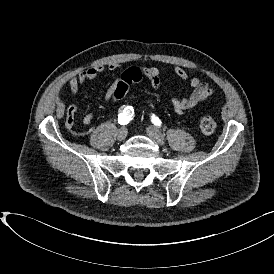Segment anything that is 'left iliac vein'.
I'll list each match as a JSON object with an SVG mask.
<instances>
[{
  "mask_svg": "<svg viewBox=\"0 0 274 274\" xmlns=\"http://www.w3.org/2000/svg\"><path fill=\"white\" fill-rule=\"evenodd\" d=\"M147 134L148 136L156 142L158 145H164L165 144V139L162 133L154 126H148L147 129Z\"/></svg>",
  "mask_w": 274,
  "mask_h": 274,
  "instance_id": "4c4485c4",
  "label": "left iliac vein"
}]
</instances>
